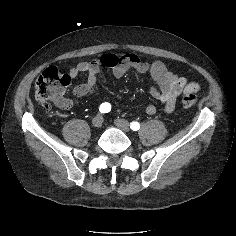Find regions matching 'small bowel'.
Segmentation results:
<instances>
[{"label":"small bowel","instance_id":"1","mask_svg":"<svg viewBox=\"0 0 236 236\" xmlns=\"http://www.w3.org/2000/svg\"><path fill=\"white\" fill-rule=\"evenodd\" d=\"M101 65L111 68L112 76L115 79L121 78L129 70H135L140 74H150L155 82V85L150 88V93L164 106L168 113L174 110L180 95L195 93L200 88L198 82H191L185 77L178 76L161 61L149 63L136 54H124L122 56L107 54L99 59L81 62L69 71V76L73 79L81 74L87 76L86 83L73 88L75 96L99 95L97 80ZM55 103L62 109H69L73 105L72 100L68 98H62ZM156 110V106L152 104L147 105L145 109L149 115L155 114Z\"/></svg>","mask_w":236,"mask_h":236}]
</instances>
